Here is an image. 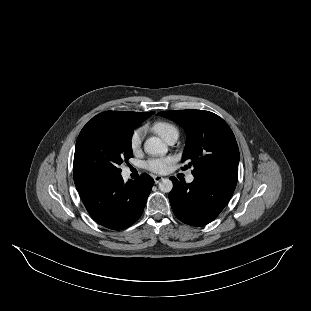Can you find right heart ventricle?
<instances>
[{
	"mask_svg": "<svg viewBox=\"0 0 311 311\" xmlns=\"http://www.w3.org/2000/svg\"><path fill=\"white\" fill-rule=\"evenodd\" d=\"M153 130L165 141L179 136V128L176 124L170 121H157L152 126Z\"/></svg>",
	"mask_w": 311,
	"mask_h": 311,
	"instance_id": "e07e8e85",
	"label": "right heart ventricle"
}]
</instances>
